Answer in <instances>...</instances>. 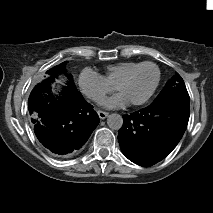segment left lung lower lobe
<instances>
[{"label": "left lung lower lobe", "instance_id": "0a47b994", "mask_svg": "<svg viewBox=\"0 0 213 213\" xmlns=\"http://www.w3.org/2000/svg\"><path fill=\"white\" fill-rule=\"evenodd\" d=\"M189 110V98L167 95L144 109L123 116V126L118 132L123 154L140 166L161 161L182 138Z\"/></svg>", "mask_w": 213, "mask_h": 213}]
</instances>
